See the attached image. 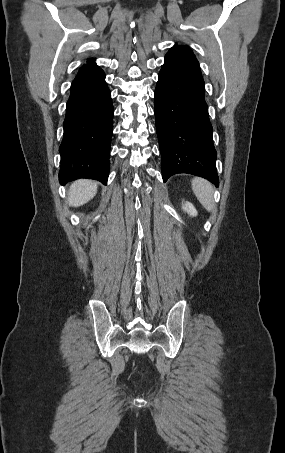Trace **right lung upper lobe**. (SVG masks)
<instances>
[{
    "label": "right lung upper lobe",
    "instance_id": "obj_1",
    "mask_svg": "<svg viewBox=\"0 0 285 453\" xmlns=\"http://www.w3.org/2000/svg\"><path fill=\"white\" fill-rule=\"evenodd\" d=\"M94 62V59H88V63Z\"/></svg>",
    "mask_w": 285,
    "mask_h": 453
}]
</instances>
